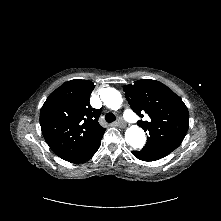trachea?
Returning a JSON list of instances; mask_svg holds the SVG:
<instances>
[{"instance_id":"obj_1","label":"trachea","mask_w":221,"mask_h":221,"mask_svg":"<svg viewBox=\"0 0 221 221\" xmlns=\"http://www.w3.org/2000/svg\"><path fill=\"white\" fill-rule=\"evenodd\" d=\"M105 120L107 123H112L116 120V116L113 113H107L105 115Z\"/></svg>"}]
</instances>
